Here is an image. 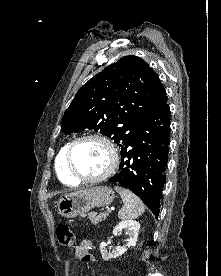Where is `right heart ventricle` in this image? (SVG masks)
Wrapping results in <instances>:
<instances>
[{"instance_id": "obj_1", "label": "right heart ventricle", "mask_w": 221, "mask_h": 276, "mask_svg": "<svg viewBox=\"0 0 221 276\" xmlns=\"http://www.w3.org/2000/svg\"><path fill=\"white\" fill-rule=\"evenodd\" d=\"M68 144H65L59 151L56 161H55V169L58 178L61 182L68 184V185H75L78 183L77 180H75L69 173L66 168L65 163V153L67 150Z\"/></svg>"}]
</instances>
